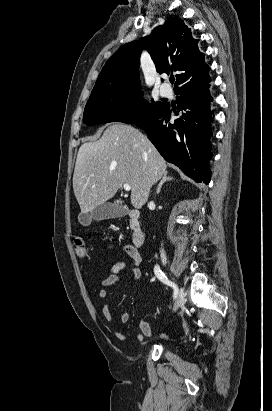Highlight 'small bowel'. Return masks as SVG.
Here are the masks:
<instances>
[{
	"label": "small bowel",
	"instance_id": "obj_1",
	"mask_svg": "<svg viewBox=\"0 0 272 411\" xmlns=\"http://www.w3.org/2000/svg\"><path fill=\"white\" fill-rule=\"evenodd\" d=\"M123 249L127 253V255L130 257L131 261L130 263L119 262L112 267L110 274L101 283V289L99 290L98 295L102 300H105L108 296L107 287L123 280V278L120 275L122 272L127 271L130 274L131 280H137L141 276V271L139 269V264L141 262V256L137 248H135L131 244H125L123 245ZM102 313H103L105 320L108 323H112L115 320L121 323H126L129 320V314L127 312H121L115 318L112 315L110 311V307L107 303L103 304ZM138 325H139L141 332L136 334L133 337V339L136 342H143L145 336L151 337L154 335L150 324L145 319H140ZM183 329H184V335L186 336L189 333V328L186 322L183 323ZM111 331L113 335L120 341H126L130 339V337L121 333L115 328H111ZM161 337H164V336L161 335Z\"/></svg>",
	"mask_w": 272,
	"mask_h": 411
}]
</instances>
